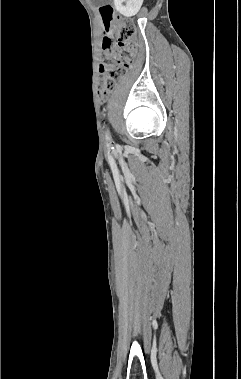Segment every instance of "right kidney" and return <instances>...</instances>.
Returning <instances> with one entry per match:
<instances>
[{
	"label": "right kidney",
	"instance_id": "1",
	"mask_svg": "<svg viewBox=\"0 0 241 379\" xmlns=\"http://www.w3.org/2000/svg\"><path fill=\"white\" fill-rule=\"evenodd\" d=\"M143 0H114L116 10L125 17H131L138 13Z\"/></svg>",
	"mask_w": 241,
	"mask_h": 379
}]
</instances>
